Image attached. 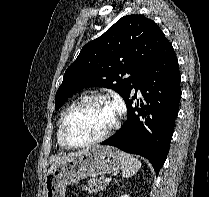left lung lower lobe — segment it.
I'll return each instance as SVG.
<instances>
[{
  "instance_id": "obj_1",
  "label": "left lung lower lobe",
  "mask_w": 209,
  "mask_h": 197,
  "mask_svg": "<svg viewBox=\"0 0 209 197\" xmlns=\"http://www.w3.org/2000/svg\"><path fill=\"white\" fill-rule=\"evenodd\" d=\"M133 88L135 95L131 97L130 93L125 99L127 121L101 144L147 158L158 174L169 152L181 98L178 60L168 40L142 70ZM138 89L144 98V102H137L140 107L133 106Z\"/></svg>"
}]
</instances>
